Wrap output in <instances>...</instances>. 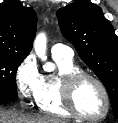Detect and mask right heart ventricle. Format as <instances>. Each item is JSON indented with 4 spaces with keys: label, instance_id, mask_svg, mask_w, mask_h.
<instances>
[{
    "label": "right heart ventricle",
    "instance_id": "right-heart-ventricle-1",
    "mask_svg": "<svg viewBox=\"0 0 118 123\" xmlns=\"http://www.w3.org/2000/svg\"><path fill=\"white\" fill-rule=\"evenodd\" d=\"M53 58L58 66V72L42 76L35 101L38 109L44 113L57 117H69L71 113L65 109L61 100L59 80L65 73L77 71L78 68L72 60Z\"/></svg>",
    "mask_w": 118,
    "mask_h": 123
}]
</instances>
